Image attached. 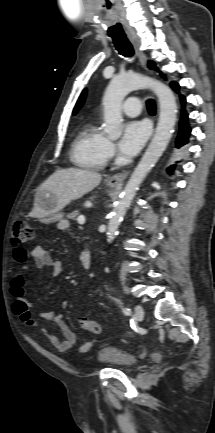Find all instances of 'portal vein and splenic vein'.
Returning a JSON list of instances; mask_svg holds the SVG:
<instances>
[{
    "mask_svg": "<svg viewBox=\"0 0 215 433\" xmlns=\"http://www.w3.org/2000/svg\"><path fill=\"white\" fill-rule=\"evenodd\" d=\"M77 221L80 225H83V224H85V217L83 215H81L77 218Z\"/></svg>",
    "mask_w": 215,
    "mask_h": 433,
    "instance_id": "portal-vein-and-splenic-vein-1",
    "label": "portal vein and splenic vein"
}]
</instances>
